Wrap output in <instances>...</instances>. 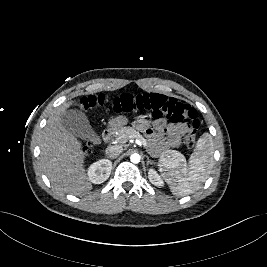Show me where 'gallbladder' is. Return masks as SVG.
<instances>
[{"mask_svg":"<svg viewBox=\"0 0 267 267\" xmlns=\"http://www.w3.org/2000/svg\"><path fill=\"white\" fill-rule=\"evenodd\" d=\"M62 125L73 136L93 144H100L101 139L91 127L86 115L79 110L70 109L62 114Z\"/></svg>","mask_w":267,"mask_h":267,"instance_id":"1","label":"gallbladder"}]
</instances>
